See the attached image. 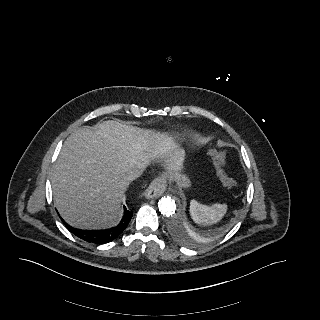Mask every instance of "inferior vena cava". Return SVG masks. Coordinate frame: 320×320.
Returning a JSON list of instances; mask_svg holds the SVG:
<instances>
[{
	"label": "inferior vena cava",
	"instance_id": "602c4592",
	"mask_svg": "<svg viewBox=\"0 0 320 320\" xmlns=\"http://www.w3.org/2000/svg\"><path fill=\"white\" fill-rule=\"evenodd\" d=\"M141 174H142V170L132 169V170L127 172L126 179H127V181H132V180L140 177Z\"/></svg>",
	"mask_w": 320,
	"mask_h": 320
}]
</instances>
